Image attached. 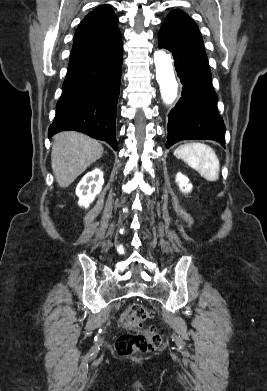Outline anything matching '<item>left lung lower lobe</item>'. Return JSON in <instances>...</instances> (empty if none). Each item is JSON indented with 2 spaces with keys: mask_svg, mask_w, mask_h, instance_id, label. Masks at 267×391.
<instances>
[{
  "mask_svg": "<svg viewBox=\"0 0 267 391\" xmlns=\"http://www.w3.org/2000/svg\"><path fill=\"white\" fill-rule=\"evenodd\" d=\"M159 48L172 52L182 97L169 114L166 147L182 140H215L225 144V125L203 42L167 27L158 33Z\"/></svg>",
  "mask_w": 267,
  "mask_h": 391,
  "instance_id": "0a47b994",
  "label": "left lung lower lobe"
}]
</instances>
